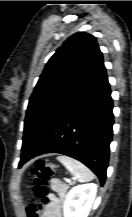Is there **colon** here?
Segmentation results:
<instances>
[{"label": "colon", "instance_id": "5ec220e1", "mask_svg": "<svg viewBox=\"0 0 132 217\" xmlns=\"http://www.w3.org/2000/svg\"><path fill=\"white\" fill-rule=\"evenodd\" d=\"M56 171L57 166L53 162L47 160L36 161L30 169L33 192L36 197L42 199L45 205L50 202L47 183L54 177ZM41 206V204L30 205L28 208L29 217H38Z\"/></svg>", "mask_w": 132, "mask_h": 217}]
</instances>
